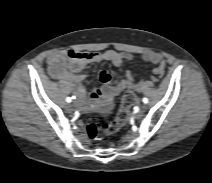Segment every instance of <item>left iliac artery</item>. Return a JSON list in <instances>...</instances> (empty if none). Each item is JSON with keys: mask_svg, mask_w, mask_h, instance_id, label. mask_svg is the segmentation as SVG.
Wrapping results in <instances>:
<instances>
[{"mask_svg": "<svg viewBox=\"0 0 212 183\" xmlns=\"http://www.w3.org/2000/svg\"><path fill=\"white\" fill-rule=\"evenodd\" d=\"M142 101L147 104L148 103V99L147 98H143Z\"/></svg>", "mask_w": 212, "mask_h": 183, "instance_id": "1", "label": "left iliac artery"}]
</instances>
